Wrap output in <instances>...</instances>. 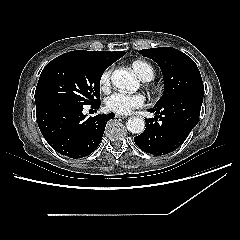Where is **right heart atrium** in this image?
<instances>
[{
    "instance_id": "obj_1",
    "label": "right heart atrium",
    "mask_w": 240,
    "mask_h": 240,
    "mask_svg": "<svg viewBox=\"0 0 240 240\" xmlns=\"http://www.w3.org/2000/svg\"><path fill=\"white\" fill-rule=\"evenodd\" d=\"M111 73H112V67H107L101 74L99 79L100 88L103 91H106L109 89L111 84Z\"/></svg>"
}]
</instances>
